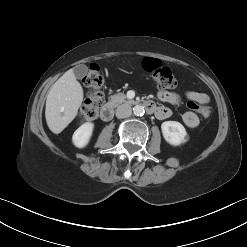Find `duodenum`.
I'll return each mask as SVG.
<instances>
[{
    "label": "duodenum",
    "mask_w": 247,
    "mask_h": 247,
    "mask_svg": "<svg viewBox=\"0 0 247 247\" xmlns=\"http://www.w3.org/2000/svg\"><path fill=\"white\" fill-rule=\"evenodd\" d=\"M144 106L146 108L147 111L151 112V113H155L157 111V107L155 106V104L153 102H145ZM114 114V106L111 103L106 104L101 111V118L104 121H109Z\"/></svg>",
    "instance_id": "duodenum-1"
}]
</instances>
